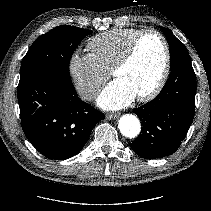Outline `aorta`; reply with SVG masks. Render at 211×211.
<instances>
[{
  "mask_svg": "<svg viewBox=\"0 0 211 211\" xmlns=\"http://www.w3.org/2000/svg\"><path fill=\"white\" fill-rule=\"evenodd\" d=\"M118 127L123 136L134 138L140 133L141 124L136 116L125 114L120 118Z\"/></svg>",
  "mask_w": 211,
  "mask_h": 211,
  "instance_id": "aorta-1",
  "label": "aorta"
}]
</instances>
